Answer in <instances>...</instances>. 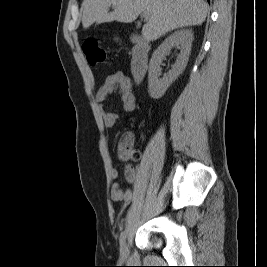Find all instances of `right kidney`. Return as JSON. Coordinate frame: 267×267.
Masks as SVG:
<instances>
[{
    "label": "right kidney",
    "mask_w": 267,
    "mask_h": 267,
    "mask_svg": "<svg viewBox=\"0 0 267 267\" xmlns=\"http://www.w3.org/2000/svg\"><path fill=\"white\" fill-rule=\"evenodd\" d=\"M192 41L193 33L191 30H178L167 37L154 51L149 63L148 74V92L151 98H161L165 94L168 87L178 78L180 74H182L188 63ZM174 46L180 49V54L178 55L176 62L172 66V69L169 71V73L164 75L163 78H160V64L162 59Z\"/></svg>",
    "instance_id": "obj_1"
}]
</instances>
